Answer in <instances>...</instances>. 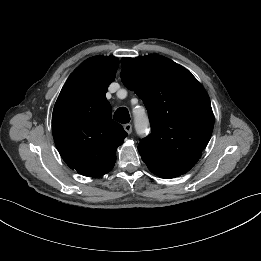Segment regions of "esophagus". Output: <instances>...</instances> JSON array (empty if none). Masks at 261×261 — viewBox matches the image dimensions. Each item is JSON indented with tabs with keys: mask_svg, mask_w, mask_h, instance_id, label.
Segmentation results:
<instances>
[{
	"mask_svg": "<svg viewBox=\"0 0 261 261\" xmlns=\"http://www.w3.org/2000/svg\"><path fill=\"white\" fill-rule=\"evenodd\" d=\"M124 130L128 133L131 134L132 133V125L130 123H127L124 125Z\"/></svg>",
	"mask_w": 261,
	"mask_h": 261,
	"instance_id": "34e87169",
	"label": "esophagus"
}]
</instances>
